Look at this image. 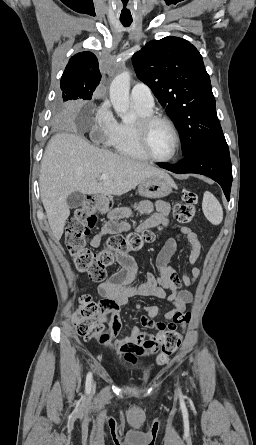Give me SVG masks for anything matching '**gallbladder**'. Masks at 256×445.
Returning <instances> with one entry per match:
<instances>
[{
  "label": "gallbladder",
  "instance_id": "obj_1",
  "mask_svg": "<svg viewBox=\"0 0 256 445\" xmlns=\"http://www.w3.org/2000/svg\"><path fill=\"white\" fill-rule=\"evenodd\" d=\"M85 200V195L79 191H75L72 192L68 197H67V204L69 206V208L73 209V208H77L79 206H81L83 204Z\"/></svg>",
  "mask_w": 256,
  "mask_h": 445
}]
</instances>
